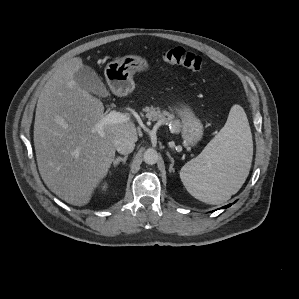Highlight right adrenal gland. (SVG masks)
I'll return each mask as SVG.
<instances>
[{
	"label": "right adrenal gland",
	"mask_w": 299,
	"mask_h": 299,
	"mask_svg": "<svg viewBox=\"0 0 299 299\" xmlns=\"http://www.w3.org/2000/svg\"><path fill=\"white\" fill-rule=\"evenodd\" d=\"M127 158H128V155H125L123 158L122 157L115 158L114 161H113L114 167H117L121 162L123 164H126Z\"/></svg>",
	"instance_id": "1"
}]
</instances>
